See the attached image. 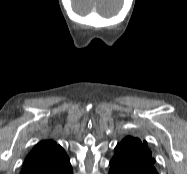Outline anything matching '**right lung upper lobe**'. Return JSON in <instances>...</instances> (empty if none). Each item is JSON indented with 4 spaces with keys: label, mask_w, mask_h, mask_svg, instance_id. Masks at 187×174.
I'll use <instances>...</instances> for the list:
<instances>
[{
    "label": "right lung upper lobe",
    "mask_w": 187,
    "mask_h": 174,
    "mask_svg": "<svg viewBox=\"0 0 187 174\" xmlns=\"http://www.w3.org/2000/svg\"><path fill=\"white\" fill-rule=\"evenodd\" d=\"M71 165L65 151L54 141L38 143L27 155L20 174H64Z\"/></svg>",
    "instance_id": "cb5924a9"
}]
</instances>
